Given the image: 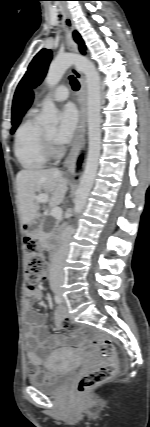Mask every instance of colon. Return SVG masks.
<instances>
[{
    "instance_id": "obj_1",
    "label": "colon",
    "mask_w": 150,
    "mask_h": 427,
    "mask_svg": "<svg viewBox=\"0 0 150 427\" xmlns=\"http://www.w3.org/2000/svg\"><path fill=\"white\" fill-rule=\"evenodd\" d=\"M24 247L27 256L26 281L29 291H33L46 279L47 265L40 246L35 239L25 236ZM89 339L93 346L106 359V364L80 378L77 383V392L80 395H84L98 385L110 380L118 372L117 353L113 343L99 336L89 335Z\"/></svg>"
}]
</instances>
